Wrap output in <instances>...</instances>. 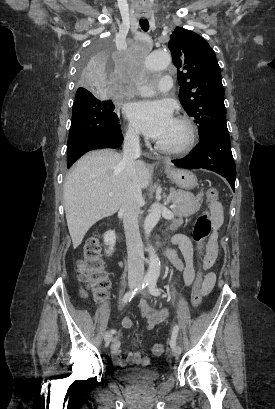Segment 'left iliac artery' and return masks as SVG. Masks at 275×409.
I'll use <instances>...</instances> for the list:
<instances>
[{
	"label": "left iliac artery",
	"mask_w": 275,
	"mask_h": 409,
	"mask_svg": "<svg viewBox=\"0 0 275 409\" xmlns=\"http://www.w3.org/2000/svg\"><path fill=\"white\" fill-rule=\"evenodd\" d=\"M149 292L154 295L158 296L160 295L161 291L157 288V277L154 276L150 279L149 285H148ZM179 327L178 325H175L172 331V336L170 340V346L171 348L176 346V339L178 335Z\"/></svg>",
	"instance_id": "44dca946"
}]
</instances>
